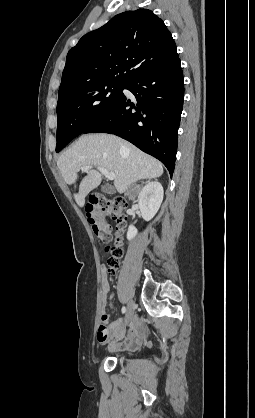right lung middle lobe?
<instances>
[{
  "label": "right lung middle lobe",
  "mask_w": 255,
  "mask_h": 418,
  "mask_svg": "<svg viewBox=\"0 0 255 418\" xmlns=\"http://www.w3.org/2000/svg\"><path fill=\"white\" fill-rule=\"evenodd\" d=\"M125 86L124 83L100 82L58 94L56 152L106 116Z\"/></svg>",
  "instance_id": "right-lung-middle-lobe-1"
}]
</instances>
